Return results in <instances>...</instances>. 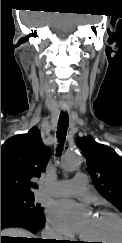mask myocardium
<instances>
[{"label": "myocardium", "mask_w": 122, "mask_h": 243, "mask_svg": "<svg viewBox=\"0 0 122 243\" xmlns=\"http://www.w3.org/2000/svg\"><path fill=\"white\" fill-rule=\"evenodd\" d=\"M97 214L110 216L118 221V223L120 225V229H121V238L118 243H122V216L114 211L107 210V209L98 210Z\"/></svg>", "instance_id": "myocardium-1"}]
</instances>
